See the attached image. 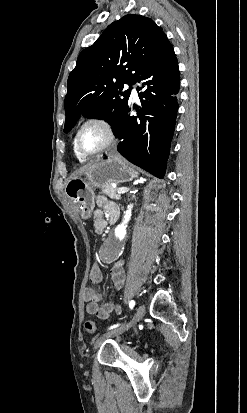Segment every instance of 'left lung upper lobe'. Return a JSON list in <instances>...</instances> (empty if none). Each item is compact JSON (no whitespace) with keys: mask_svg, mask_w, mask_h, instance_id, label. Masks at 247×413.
<instances>
[{"mask_svg":"<svg viewBox=\"0 0 247 413\" xmlns=\"http://www.w3.org/2000/svg\"><path fill=\"white\" fill-rule=\"evenodd\" d=\"M167 47V36L150 18L128 14L111 23L69 75L64 132L82 115L108 121L115 132L132 89L122 92L124 84L133 85Z\"/></svg>","mask_w":247,"mask_h":413,"instance_id":"obj_1","label":"left lung upper lobe"}]
</instances>
